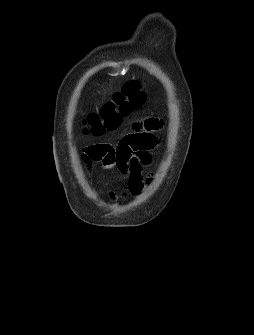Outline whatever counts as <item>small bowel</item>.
<instances>
[{
  "instance_id": "c3829d8e",
  "label": "small bowel",
  "mask_w": 254,
  "mask_h": 335,
  "mask_svg": "<svg viewBox=\"0 0 254 335\" xmlns=\"http://www.w3.org/2000/svg\"><path fill=\"white\" fill-rule=\"evenodd\" d=\"M159 125L154 120H147L136 130L121 137L118 146L97 144L84 151V162L88 169L96 161L102 162L106 170L116 168L128 177V193L138 194L143 188V166L152 161L151 151L158 146L159 138L155 131Z\"/></svg>"
}]
</instances>
